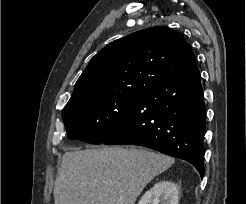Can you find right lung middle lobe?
<instances>
[{
	"label": "right lung middle lobe",
	"mask_w": 246,
	"mask_h": 204,
	"mask_svg": "<svg viewBox=\"0 0 246 204\" xmlns=\"http://www.w3.org/2000/svg\"><path fill=\"white\" fill-rule=\"evenodd\" d=\"M139 93L104 95L64 107L69 139L100 144L126 120Z\"/></svg>",
	"instance_id": "obj_1"
}]
</instances>
